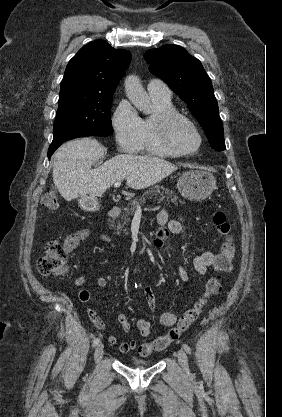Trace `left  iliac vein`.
Returning <instances> with one entry per match:
<instances>
[{
  "label": "left iliac vein",
  "mask_w": 282,
  "mask_h": 417,
  "mask_svg": "<svg viewBox=\"0 0 282 417\" xmlns=\"http://www.w3.org/2000/svg\"><path fill=\"white\" fill-rule=\"evenodd\" d=\"M177 358L179 361V364L183 368V370L187 373H189V363H188V357L184 350H179L177 353Z\"/></svg>",
  "instance_id": "left-iliac-vein-1"
}]
</instances>
